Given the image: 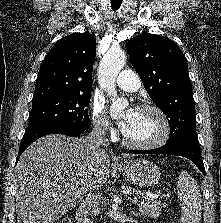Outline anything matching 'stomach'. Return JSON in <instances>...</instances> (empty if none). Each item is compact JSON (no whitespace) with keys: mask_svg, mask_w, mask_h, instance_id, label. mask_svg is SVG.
<instances>
[{"mask_svg":"<svg viewBox=\"0 0 221 223\" xmlns=\"http://www.w3.org/2000/svg\"><path fill=\"white\" fill-rule=\"evenodd\" d=\"M120 172L138 186H153L160 180L161 172L149 160L128 161L117 165Z\"/></svg>","mask_w":221,"mask_h":223,"instance_id":"1","label":"stomach"}]
</instances>
